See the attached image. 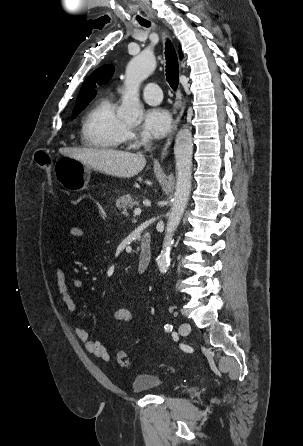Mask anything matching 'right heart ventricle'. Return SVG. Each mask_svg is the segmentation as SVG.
<instances>
[{"instance_id":"e07e8e85","label":"right heart ventricle","mask_w":303,"mask_h":446,"mask_svg":"<svg viewBox=\"0 0 303 446\" xmlns=\"http://www.w3.org/2000/svg\"><path fill=\"white\" fill-rule=\"evenodd\" d=\"M124 122L116 113L113 95L99 98L85 114L81 142L95 149H115L125 140Z\"/></svg>"}]
</instances>
